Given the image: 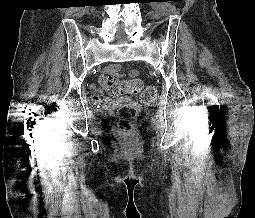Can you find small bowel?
I'll return each mask as SVG.
<instances>
[{"label":"small bowel","mask_w":255,"mask_h":218,"mask_svg":"<svg viewBox=\"0 0 255 218\" xmlns=\"http://www.w3.org/2000/svg\"><path fill=\"white\" fill-rule=\"evenodd\" d=\"M119 73H120V67L117 66V65H114V66L108 67L106 69L104 75L111 77L112 75H117ZM136 74H137L136 71H131L130 72V76H135ZM94 99L97 100V101L101 100V95L97 91H95ZM108 103H110V104H117L118 101L108 100Z\"/></svg>","instance_id":"1"}]
</instances>
